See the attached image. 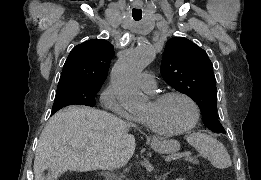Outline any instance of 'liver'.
I'll return each instance as SVG.
<instances>
[{"label":"liver","instance_id":"1","mask_svg":"<svg viewBox=\"0 0 261 180\" xmlns=\"http://www.w3.org/2000/svg\"><path fill=\"white\" fill-rule=\"evenodd\" d=\"M134 152L135 138L123 120L95 108L69 106L50 118L38 140L35 180H58L65 172L114 170Z\"/></svg>","mask_w":261,"mask_h":180}]
</instances>
